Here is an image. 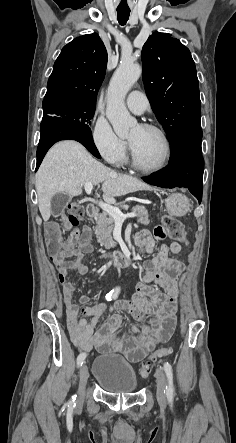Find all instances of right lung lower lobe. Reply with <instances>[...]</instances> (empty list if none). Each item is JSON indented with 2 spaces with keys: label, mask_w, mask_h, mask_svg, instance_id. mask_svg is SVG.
<instances>
[{
  "label": "right lung lower lobe",
  "mask_w": 236,
  "mask_h": 443,
  "mask_svg": "<svg viewBox=\"0 0 236 443\" xmlns=\"http://www.w3.org/2000/svg\"><path fill=\"white\" fill-rule=\"evenodd\" d=\"M41 136L39 145L37 148V166L41 164L48 149L57 141L72 139L83 144L95 157L100 158V154L97 151L91 132L78 128L69 120L48 116L43 118L41 125Z\"/></svg>",
  "instance_id": "1"
}]
</instances>
